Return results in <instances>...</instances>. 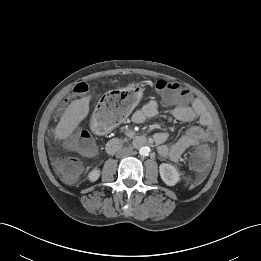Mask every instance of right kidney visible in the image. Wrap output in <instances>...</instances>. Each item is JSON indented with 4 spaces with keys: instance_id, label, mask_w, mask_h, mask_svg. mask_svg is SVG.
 Masks as SVG:
<instances>
[{
    "instance_id": "ca27d5eb",
    "label": "right kidney",
    "mask_w": 261,
    "mask_h": 261,
    "mask_svg": "<svg viewBox=\"0 0 261 261\" xmlns=\"http://www.w3.org/2000/svg\"><path fill=\"white\" fill-rule=\"evenodd\" d=\"M100 176V170L99 169H93L90 173H89V180L91 182H95L96 180H98Z\"/></svg>"
}]
</instances>
